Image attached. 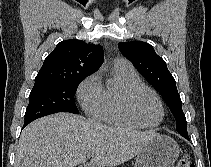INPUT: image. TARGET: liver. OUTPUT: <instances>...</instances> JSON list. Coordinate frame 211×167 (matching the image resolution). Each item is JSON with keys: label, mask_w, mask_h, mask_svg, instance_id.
Segmentation results:
<instances>
[{"label": "liver", "mask_w": 211, "mask_h": 167, "mask_svg": "<svg viewBox=\"0 0 211 167\" xmlns=\"http://www.w3.org/2000/svg\"><path fill=\"white\" fill-rule=\"evenodd\" d=\"M110 127L70 113H57L30 123L20 136L14 167H113L138 155L154 137Z\"/></svg>", "instance_id": "liver-1"}]
</instances>
